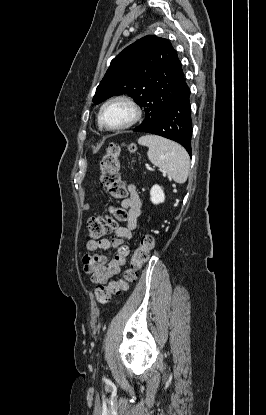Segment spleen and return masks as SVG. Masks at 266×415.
I'll return each instance as SVG.
<instances>
[{
  "label": "spleen",
  "instance_id": "1",
  "mask_svg": "<svg viewBox=\"0 0 266 415\" xmlns=\"http://www.w3.org/2000/svg\"><path fill=\"white\" fill-rule=\"evenodd\" d=\"M138 143L149 148V160L161 168L170 179L178 184L186 182L190 170V158L178 143L157 135H145Z\"/></svg>",
  "mask_w": 266,
  "mask_h": 415
}]
</instances>
